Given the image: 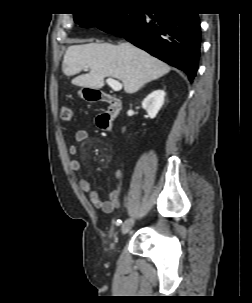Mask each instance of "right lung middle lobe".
<instances>
[{
	"mask_svg": "<svg viewBox=\"0 0 252 303\" xmlns=\"http://www.w3.org/2000/svg\"><path fill=\"white\" fill-rule=\"evenodd\" d=\"M128 14L122 13H84L74 14V20L82 27H98L102 29L105 26L115 24Z\"/></svg>",
	"mask_w": 252,
	"mask_h": 303,
	"instance_id": "1",
	"label": "right lung middle lobe"
}]
</instances>
